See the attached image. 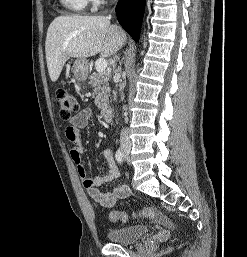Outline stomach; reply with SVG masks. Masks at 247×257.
Returning a JSON list of instances; mask_svg holds the SVG:
<instances>
[{"instance_id": "0dacf381", "label": "stomach", "mask_w": 247, "mask_h": 257, "mask_svg": "<svg viewBox=\"0 0 247 257\" xmlns=\"http://www.w3.org/2000/svg\"><path fill=\"white\" fill-rule=\"evenodd\" d=\"M73 74L77 81H85L88 76V63L85 59L75 60L73 67Z\"/></svg>"}]
</instances>
